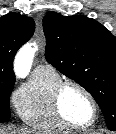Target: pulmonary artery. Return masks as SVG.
Listing matches in <instances>:
<instances>
[{"mask_svg": "<svg viewBox=\"0 0 116 134\" xmlns=\"http://www.w3.org/2000/svg\"><path fill=\"white\" fill-rule=\"evenodd\" d=\"M43 68H52V67L50 65H48V64H44V65L37 66L35 70L43 69Z\"/></svg>", "mask_w": 116, "mask_h": 134, "instance_id": "e3ab8cb5", "label": "pulmonary artery"}]
</instances>
